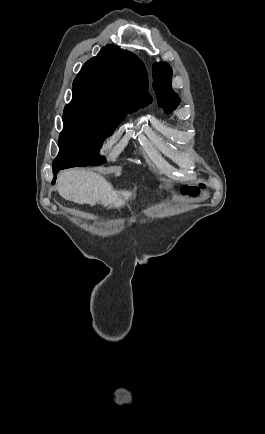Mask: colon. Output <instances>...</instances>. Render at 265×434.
I'll return each instance as SVG.
<instances>
[{
	"label": "colon",
	"mask_w": 265,
	"mask_h": 434,
	"mask_svg": "<svg viewBox=\"0 0 265 434\" xmlns=\"http://www.w3.org/2000/svg\"><path fill=\"white\" fill-rule=\"evenodd\" d=\"M180 191L181 193H189V202H204L205 196L204 193H198V184H181Z\"/></svg>",
	"instance_id": "1"
}]
</instances>
